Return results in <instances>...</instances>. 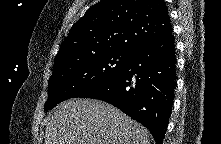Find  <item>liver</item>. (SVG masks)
Masks as SVG:
<instances>
[{"instance_id":"obj_1","label":"liver","mask_w":221,"mask_h":144,"mask_svg":"<svg viewBox=\"0 0 221 144\" xmlns=\"http://www.w3.org/2000/svg\"><path fill=\"white\" fill-rule=\"evenodd\" d=\"M150 133L109 103L70 99L48 115L45 144H150Z\"/></svg>"}]
</instances>
